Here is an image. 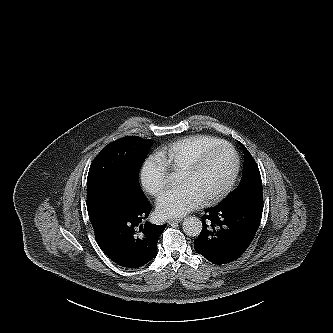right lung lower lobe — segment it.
<instances>
[{
  "mask_svg": "<svg viewBox=\"0 0 333 333\" xmlns=\"http://www.w3.org/2000/svg\"><path fill=\"white\" fill-rule=\"evenodd\" d=\"M151 210L147 200L133 201L126 208L104 204L89 214L97 244L113 262L124 268H138L156 256L157 242L167 224L143 225Z\"/></svg>",
  "mask_w": 333,
  "mask_h": 333,
  "instance_id": "98d812e1",
  "label": "right lung lower lobe"
}]
</instances>
